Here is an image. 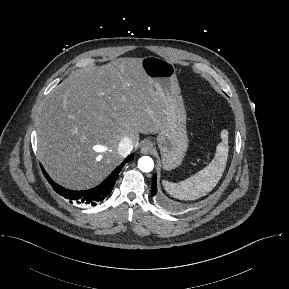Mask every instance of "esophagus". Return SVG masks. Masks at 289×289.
Segmentation results:
<instances>
[{"instance_id":"34e87169","label":"esophagus","mask_w":289,"mask_h":289,"mask_svg":"<svg viewBox=\"0 0 289 289\" xmlns=\"http://www.w3.org/2000/svg\"><path fill=\"white\" fill-rule=\"evenodd\" d=\"M152 150H153V145L149 141L143 142L140 147V151L142 154H149L152 152Z\"/></svg>"}]
</instances>
